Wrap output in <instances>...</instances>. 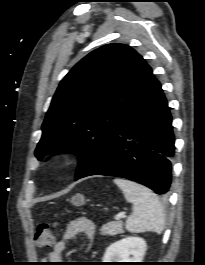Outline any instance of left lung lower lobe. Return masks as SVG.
<instances>
[{
	"label": "left lung lower lobe",
	"mask_w": 205,
	"mask_h": 265,
	"mask_svg": "<svg viewBox=\"0 0 205 265\" xmlns=\"http://www.w3.org/2000/svg\"><path fill=\"white\" fill-rule=\"evenodd\" d=\"M173 155L171 114L159 81L151 75L141 96L76 179L123 177L165 194L171 184Z\"/></svg>",
	"instance_id": "obj_1"
}]
</instances>
